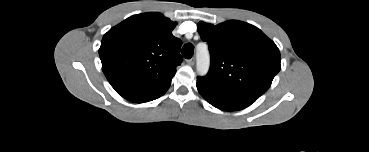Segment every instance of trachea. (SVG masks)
<instances>
[{
    "instance_id": "obj_1",
    "label": "trachea",
    "mask_w": 369,
    "mask_h": 152,
    "mask_svg": "<svg viewBox=\"0 0 369 152\" xmlns=\"http://www.w3.org/2000/svg\"><path fill=\"white\" fill-rule=\"evenodd\" d=\"M194 52V46L190 43L185 44L182 48V55L185 59H191Z\"/></svg>"
}]
</instances>
